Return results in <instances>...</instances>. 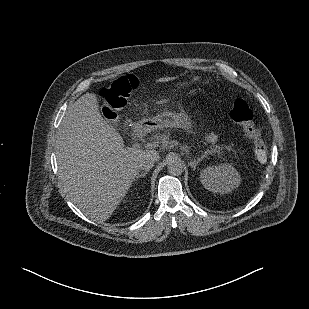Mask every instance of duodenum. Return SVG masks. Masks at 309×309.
<instances>
[{
    "label": "duodenum",
    "mask_w": 309,
    "mask_h": 309,
    "mask_svg": "<svg viewBox=\"0 0 309 309\" xmlns=\"http://www.w3.org/2000/svg\"><path fill=\"white\" fill-rule=\"evenodd\" d=\"M151 131V126L148 123L138 124L134 128V132L137 136H145Z\"/></svg>",
    "instance_id": "duodenum-1"
}]
</instances>
